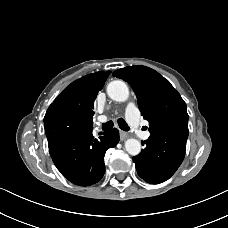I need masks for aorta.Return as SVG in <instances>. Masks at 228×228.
<instances>
[{"label": "aorta", "instance_id": "obj_1", "mask_svg": "<svg viewBox=\"0 0 228 228\" xmlns=\"http://www.w3.org/2000/svg\"><path fill=\"white\" fill-rule=\"evenodd\" d=\"M107 94L117 102H124L129 97V89L125 82L115 80L108 84ZM125 149L130 155L136 156L141 152V143L137 139H128L125 142Z\"/></svg>", "mask_w": 228, "mask_h": 228}]
</instances>
